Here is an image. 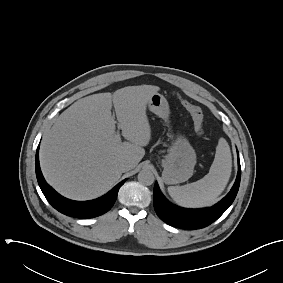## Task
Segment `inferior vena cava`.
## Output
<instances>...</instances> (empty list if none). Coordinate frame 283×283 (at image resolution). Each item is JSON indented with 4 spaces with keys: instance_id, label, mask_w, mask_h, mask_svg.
Returning a JSON list of instances; mask_svg holds the SVG:
<instances>
[{
    "instance_id": "obj_1",
    "label": "inferior vena cava",
    "mask_w": 283,
    "mask_h": 283,
    "mask_svg": "<svg viewBox=\"0 0 283 283\" xmlns=\"http://www.w3.org/2000/svg\"><path fill=\"white\" fill-rule=\"evenodd\" d=\"M130 167H131V164L128 163V162H122V163H120V165H119V168H120V170H121L122 172L128 171V170L130 169Z\"/></svg>"
}]
</instances>
